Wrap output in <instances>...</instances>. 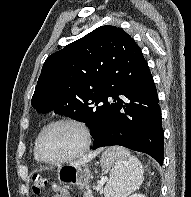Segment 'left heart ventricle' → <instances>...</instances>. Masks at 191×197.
<instances>
[{
  "label": "left heart ventricle",
  "mask_w": 191,
  "mask_h": 197,
  "mask_svg": "<svg viewBox=\"0 0 191 197\" xmlns=\"http://www.w3.org/2000/svg\"><path fill=\"white\" fill-rule=\"evenodd\" d=\"M81 130L71 124H59L49 128L40 141L41 154L47 160L65 158L81 148Z\"/></svg>",
  "instance_id": "obj_1"
}]
</instances>
